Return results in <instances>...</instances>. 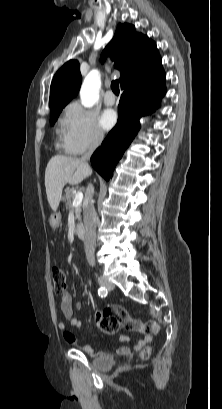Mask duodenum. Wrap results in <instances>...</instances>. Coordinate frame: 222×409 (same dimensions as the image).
Returning <instances> with one entry per match:
<instances>
[{"label":"duodenum","instance_id":"obj_1","mask_svg":"<svg viewBox=\"0 0 222 409\" xmlns=\"http://www.w3.org/2000/svg\"><path fill=\"white\" fill-rule=\"evenodd\" d=\"M76 235L81 239L85 240V230L81 224H76L75 226Z\"/></svg>","mask_w":222,"mask_h":409}]
</instances>
